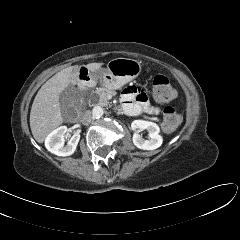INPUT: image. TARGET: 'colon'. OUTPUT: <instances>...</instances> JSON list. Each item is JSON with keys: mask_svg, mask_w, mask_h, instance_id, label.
Segmentation results:
<instances>
[{"mask_svg": "<svg viewBox=\"0 0 240 240\" xmlns=\"http://www.w3.org/2000/svg\"><path fill=\"white\" fill-rule=\"evenodd\" d=\"M154 98L159 102H170L177 96V90L164 75H156L151 79ZM181 123V115L172 107H166L163 112L162 127L172 132Z\"/></svg>", "mask_w": 240, "mask_h": 240, "instance_id": "obj_1", "label": "colon"}]
</instances>
